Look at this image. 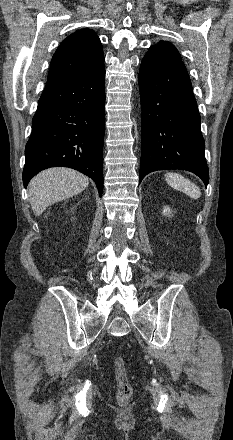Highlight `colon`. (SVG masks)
I'll list each match as a JSON object with an SVG mask.
<instances>
[{"instance_id":"5ec220e1","label":"colon","mask_w":233,"mask_h":440,"mask_svg":"<svg viewBox=\"0 0 233 440\" xmlns=\"http://www.w3.org/2000/svg\"><path fill=\"white\" fill-rule=\"evenodd\" d=\"M115 378L117 382V401L126 404L132 394V386L127 376L125 361L118 357L114 362Z\"/></svg>"}]
</instances>
